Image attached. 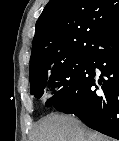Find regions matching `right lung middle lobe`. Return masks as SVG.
Returning <instances> with one entry per match:
<instances>
[{
  "label": "right lung middle lobe",
  "instance_id": "obj_1",
  "mask_svg": "<svg viewBox=\"0 0 119 141\" xmlns=\"http://www.w3.org/2000/svg\"><path fill=\"white\" fill-rule=\"evenodd\" d=\"M89 67L88 57H78L64 65L30 74L31 94L36 98L49 97L47 106L62 105L71 97Z\"/></svg>",
  "mask_w": 119,
  "mask_h": 141
}]
</instances>
